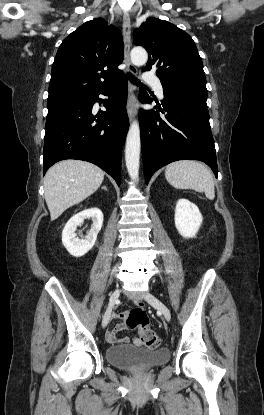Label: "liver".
Wrapping results in <instances>:
<instances>
[{"instance_id": "1", "label": "liver", "mask_w": 264, "mask_h": 415, "mask_svg": "<svg viewBox=\"0 0 264 415\" xmlns=\"http://www.w3.org/2000/svg\"><path fill=\"white\" fill-rule=\"evenodd\" d=\"M104 172L80 160H63L53 165L44 178L45 200L51 220L92 195L102 184Z\"/></svg>"}]
</instances>
